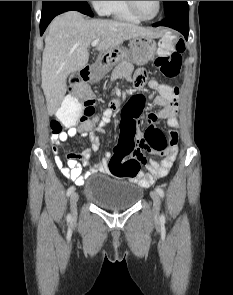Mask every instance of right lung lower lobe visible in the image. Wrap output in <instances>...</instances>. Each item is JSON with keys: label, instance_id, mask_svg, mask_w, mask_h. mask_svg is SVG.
Returning <instances> with one entry per match:
<instances>
[{"label": "right lung lower lobe", "instance_id": "1", "mask_svg": "<svg viewBox=\"0 0 233 295\" xmlns=\"http://www.w3.org/2000/svg\"><path fill=\"white\" fill-rule=\"evenodd\" d=\"M79 11L88 16L93 13L86 1H43L40 34L42 35L51 20L58 14L66 11Z\"/></svg>", "mask_w": 233, "mask_h": 295}]
</instances>
